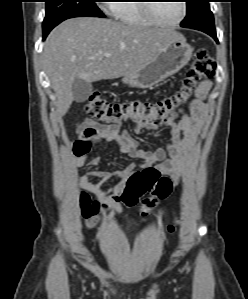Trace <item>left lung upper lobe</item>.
Here are the masks:
<instances>
[{
  "mask_svg": "<svg viewBox=\"0 0 248 299\" xmlns=\"http://www.w3.org/2000/svg\"><path fill=\"white\" fill-rule=\"evenodd\" d=\"M187 15L181 26L203 31L205 28L215 29L213 14L209 0H186Z\"/></svg>",
  "mask_w": 248,
  "mask_h": 299,
  "instance_id": "obj_1",
  "label": "left lung upper lobe"
}]
</instances>
